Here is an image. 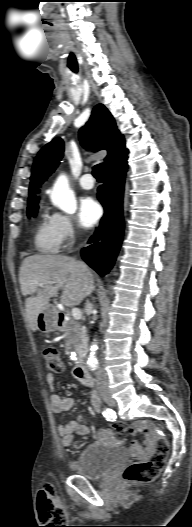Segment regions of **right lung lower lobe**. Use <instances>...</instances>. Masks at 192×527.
Returning <instances> with one entry per match:
<instances>
[{"instance_id":"1","label":"right lung lower lobe","mask_w":192,"mask_h":527,"mask_svg":"<svg viewBox=\"0 0 192 527\" xmlns=\"http://www.w3.org/2000/svg\"><path fill=\"white\" fill-rule=\"evenodd\" d=\"M127 154L104 171V185L98 189L104 216L89 241L94 243L81 251L83 260L101 276L112 268L123 238L122 198Z\"/></svg>"}]
</instances>
